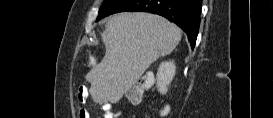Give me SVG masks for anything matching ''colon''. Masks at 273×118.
Wrapping results in <instances>:
<instances>
[{"instance_id": "5ec220e1", "label": "colon", "mask_w": 273, "mask_h": 118, "mask_svg": "<svg viewBox=\"0 0 273 118\" xmlns=\"http://www.w3.org/2000/svg\"><path fill=\"white\" fill-rule=\"evenodd\" d=\"M149 85V80H142L139 81L128 93V100L131 103H137L140 101L143 90L146 86ZM163 112H166V109L163 110Z\"/></svg>"}]
</instances>
